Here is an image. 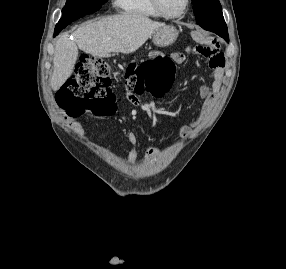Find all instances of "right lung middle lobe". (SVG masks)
Instances as JSON below:
<instances>
[{"label": "right lung middle lobe", "mask_w": 286, "mask_h": 269, "mask_svg": "<svg viewBox=\"0 0 286 269\" xmlns=\"http://www.w3.org/2000/svg\"><path fill=\"white\" fill-rule=\"evenodd\" d=\"M107 0H67L62 10V17L56 24L55 31H61L71 22L87 15L94 13Z\"/></svg>", "instance_id": "right-lung-middle-lobe-1"}]
</instances>
